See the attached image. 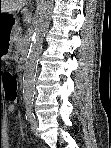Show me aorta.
<instances>
[{"label":"aorta","instance_id":"obj_1","mask_svg":"<svg viewBox=\"0 0 111 148\" xmlns=\"http://www.w3.org/2000/svg\"><path fill=\"white\" fill-rule=\"evenodd\" d=\"M53 0H41L35 14L34 34L23 74V98L30 103L35 92V75L45 32L49 26Z\"/></svg>","mask_w":111,"mask_h":148}]
</instances>
